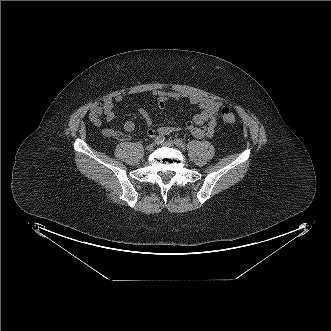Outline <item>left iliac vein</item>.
Wrapping results in <instances>:
<instances>
[{"instance_id": "4c4485c4", "label": "left iliac vein", "mask_w": 331, "mask_h": 331, "mask_svg": "<svg viewBox=\"0 0 331 331\" xmlns=\"http://www.w3.org/2000/svg\"><path fill=\"white\" fill-rule=\"evenodd\" d=\"M162 145L163 146L172 147V146H174L176 144L173 141H165Z\"/></svg>"}]
</instances>
